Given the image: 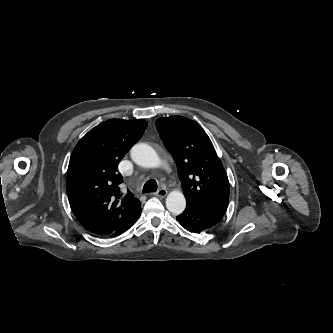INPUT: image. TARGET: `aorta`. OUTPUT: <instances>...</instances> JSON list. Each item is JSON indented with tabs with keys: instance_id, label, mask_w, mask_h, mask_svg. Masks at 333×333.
<instances>
[{
	"instance_id": "1",
	"label": "aorta",
	"mask_w": 333,
	"mask_h": 333,
	"mask_svg": "<svg viewBox=\"0 0 333 333\" xmlns=\"http://www.w3.org/2000/svg\"><path fill=\"white\" fill-rule=\"evenodd\" d=\"M131 158L139 166L145 168H156L160 166V158L156 151L148 144L139 143L132 147ZM167 209L174 213L180 214L186 207V200L182 192L172 191L166 198Z\"/></svg>"
}]
</instances>
